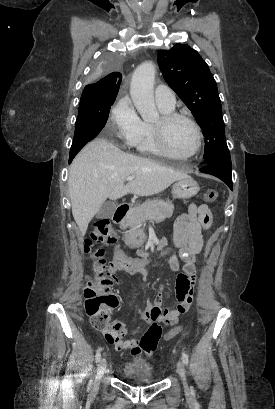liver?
<instances>
[{"label": "liver", "mask_w": 275, "mask_h": 409, "mask_svg": "<svg viewBox=\"0 0 275 409\" xmlns=\"http://www.w3.org/2000/svg\"><path fill=\"white\" fill-rule=\"evenodd\" d=\"M127 176L134 178L124 184ZM186 176H189L187 172H176L151 158L123 152L98 136L88 142L70 164L68 184L74 221L85 235L106 198L116 200L128 192L140 196L157 194Z\"/></svg>", "instance_id": "1"}]
</instances>
